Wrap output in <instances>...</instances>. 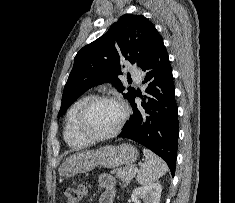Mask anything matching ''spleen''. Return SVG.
<instances>
[{
  "mask_svg": "<svg viewBox=\"0 0 235 203\" xmlns=\"http://www.w3.org/2000/svg\"><path fill=\"white\" fill-rule=\"evenodd\" d=\"M146 161L137 173L138 182L141 185L151 184L166 174L168 167L166 163L156 154L148 149H143Z\"/></svg>",
  "mask_w": 235,
  "mask_h": 203,
  "instance_id": "obj_1",
  "label": "spleen"
}]
</instances>
